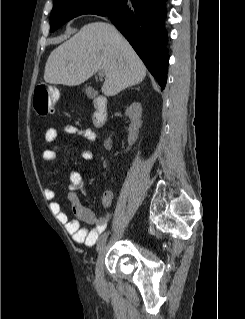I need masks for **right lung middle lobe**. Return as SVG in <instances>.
I'll return each instance as SVG.
<instances>
[{
  "label": "right lung middle lobe",
  "instance_id": "right-lung-middle-lobe-1",
  "mask_svg": "<svg viewBox=\"0 0 245 319\" xmlns=\"http://www.w3.org/2000/svg\"><path fill=\"white\" fill-rule=\"evenodd\" d=\"M123 0H54L50 16V32L55 31L67 21L82 14L107 16Z\"/></svg>",
  "mask_w": 245,
  "mask_h": 319
}]
</instances>
